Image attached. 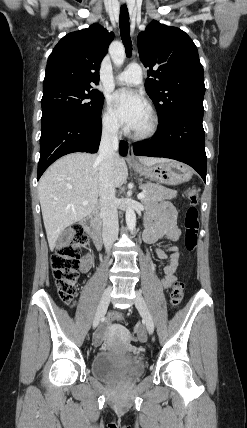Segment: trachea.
<instances>
[{
  "instance_id": "1",
  "label": "trachea",
  "mask_w": 247,
  "mask_h": 428,
  "mask_svg": "<svg viewBox=\"0 0 247 428\" xmlns=\"http://www.w3.org/2000/svg\"><path fill=\"white\" fill-rule=\"evenodd\" d=\"M119 26H120L121 39L125 46L126 56L130 57L132 53V42L130 38L129 13H128V8L125 4L120 7Z\"/></svg>"
}]
</instances>
